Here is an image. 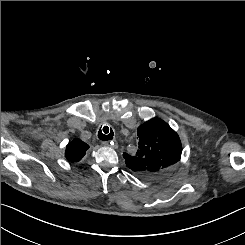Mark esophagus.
Wrapping results in <instances>:
<instances>
[{
	"instance_id": "esophagus-1",
	"label": "esophagus",
	"mask_w": 245,
	"mask_h": 245,
	"mask_svg": "<svg viewBox=\"0 0 245 245\" xmlns=\"http://www.w3.org/2000/svg\"><path fill=\"white\" fill-rule=\"evenodd\" d=\"M110 144H111V142H109V141H103V142H102V145H103L104 147H109Z\"/></svg>"
}]
</instances>
